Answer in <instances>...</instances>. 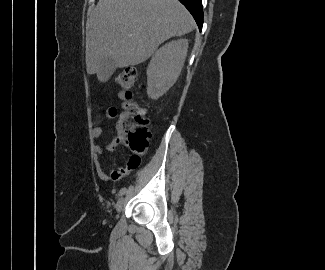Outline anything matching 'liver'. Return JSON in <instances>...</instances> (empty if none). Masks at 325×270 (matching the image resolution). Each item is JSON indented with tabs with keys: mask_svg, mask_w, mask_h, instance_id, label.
I'll return each instance as SVG.
<instances>
[{
	"mask_svg": "<svg viewBox=\"0 0 325 270\" xmlns=\"http://www.w3.org/2000/svg\"><path fill=\"white\" fill-rule=\"evenodd\" d=\"M194 27L193 17L178 0H99L86 22L87 72L105 82V59L118 68L138 65L164 41Z\"/></svg>",
	"mask_w": 325,
	"mask_h": 270,
	"instance_id": "1",
	"label": "liver"
}]
</instances>
